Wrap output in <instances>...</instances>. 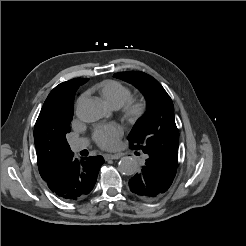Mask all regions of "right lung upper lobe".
Here are the masks:
<instances>
[{
  "instance_id": "obj_1",
  "label": "right lung upper lobe",
  "mask_w": 246,
  "mask_h": 246,
  "mask_svg": "<svg viewBox=\"0 0 246 246\" xmlns=\"http://www.w3.org/2000/svg\"><path fill=\"white\" fill-rule=\"evenodd\" d=\"M88 78H75L56 86L45 100L34 127V142L39 173L43 180L49 179L65 159L73 155L61 123L73 115L74 97L78 88Z\"/></svg>"
}]
</instances>
